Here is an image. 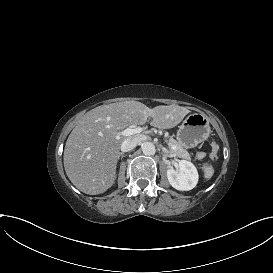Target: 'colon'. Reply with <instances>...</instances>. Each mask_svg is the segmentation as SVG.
<instances>
[{"label": "colon", "instance_id": "colon-1", "mask_svg": "<svg viewBox=\"0 0 273 273\" xmlns=\"http://www.w3.org/2000/svg\"><path fill=\"white\" fill-rule=\"evenodd\" d=\"M216 154H217V148L214 147V148H213V151H212V157L216 156Z\"/></svg>", "mask_w": 273, "mask_h": 273}]
</instances>
